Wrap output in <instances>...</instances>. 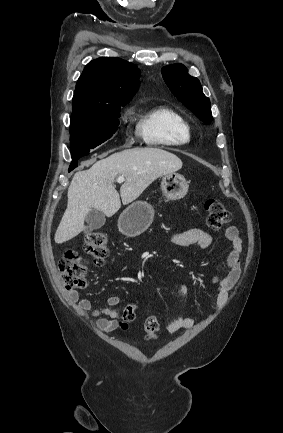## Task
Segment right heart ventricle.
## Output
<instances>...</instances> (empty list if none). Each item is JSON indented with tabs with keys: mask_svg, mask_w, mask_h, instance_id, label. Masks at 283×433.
<instances>
[{
	"mask_svg": "<svg viewBox=\"0 0 283 433\" xmlns=\"http://www.w3.org/2000/svg\"><path fill=\"white\" fill-rule=\"evenodd\" d=\"M135 128L153 146H180L190 140L191 128L183 115L167 107H157L135 116Z\"/></svg>",
	"mask_w": 283,
	"mask_h": 433,
	"instance_id": "obj_1",
	"label": "right heart ventricle"
}]
</instances>
